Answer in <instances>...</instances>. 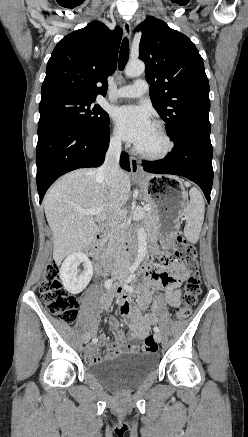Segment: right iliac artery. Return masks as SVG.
I'll list each match as a JSON object with an SVG mask.
<instances>
[{
  "label": "right iliac artery",
  "mask_w": 248,
  "mask_h": 437,
  "mask_svg": "<svg viewBox=\"0 0 248 437\" xmlns=\"http://www.w3.org/2000/svg\"><path fill=\"white\" fill-rule=\"evenodd\" d=\"M138 265H139V261H136V262H135V263L130 267L129 272H130V273H133V272L137 269ZM112 283H113V280H112V279H107V280L105 281V284H104L105 288H106V289H110L111 286H112ZM97 341H98L97 338H93V339H92V342H93V343H96Z\"/></svg>",
  "instance_id": "82829eb1"
}]
</instances>
